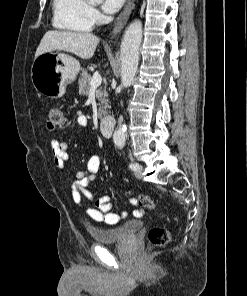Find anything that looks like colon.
I'll return each mask as SVG.
<instances>
[{"mask_svg": "<svg viewBox=\"0 0 247 296\" xmlns=\"http://www.w3.org/2000/svg\"><path fill=\"white\" fill-rule=\"evenodd\" d=\"M47 126L50 130L62 129L66 126V118L62 108L58 106H53L48 111ZM126 195L132 198L139 205L153 209L156 207V201L149 196L145 195H134L131 192H127ZM170 239V233L166 228L163 227H153L148 232L149 244L154 247H162L168 243Z\"/></svg>", "mask_w": 247, "mask_h": 296, "instance_id": "1", "label": "colon"}]
</instances>
